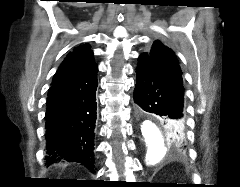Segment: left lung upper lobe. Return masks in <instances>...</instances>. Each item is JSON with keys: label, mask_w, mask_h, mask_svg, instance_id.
Here are the masks:
<instances>
[{"label": "left lung upper lobe", "mask_w": 240, "mask_h": 187, "mask_svg": "<svg viewBox=\"0 0 240 187\" xmlns=\"http://www.w3.org/2000/svg\"><path fill=\"white\" fill-rule=\"evenodd\" d=\"M147 56L150 61L169 79L182 84V72L176 58L174 52L165 46L161 41L157 40L153 43L150 52L143 53L139 56ZM161 126L164 128L167 139L171 144H174L176 148L184 149L185 147V133H181V137L178 139H172L170 133L166 128V124L164 120L158 119ZM177 127H181L182 125L176 124Z\"/></svg>", "instance_id": "5c2ea615"}]
</instances>
